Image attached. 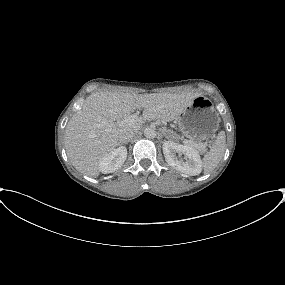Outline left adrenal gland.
I'll use <instances>...</instances> for the list:
<instances>
[{"label":"left adrenal gland","instance_id":"left-adrenal-gland-1","mask_svg":"<svg viewBox=\"0 0 285 285\" xmlns=\"http://www.w3.org/2000/svg\"><path fill=\"white\" fill-rule=\"evenodd\" d=\"M169 131L163 129L162 134L165 136V138L170 139V136L167 134Z\"/></svg>","mask_w":285,"mask_h":285}]
</instances>
